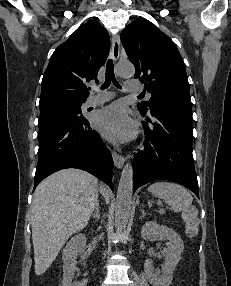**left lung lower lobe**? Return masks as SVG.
Wrapping results in <instances>:
<instances>
[{"label": "left lung lower lobe", "mask_w": 231, "mask_h": 286, "mask_svg": "<svg viewBox=\"0 0 231 286\" xmlns=\"http://www.w3.org/2000/svg\"><path fill=\"white\" fill-rule=\"evenodd\" d=\"M191 113L192 107L165 102L154 103L149 114L142 113L147 122L143 123L146 140L133 161V190L165 179L187 187L199 197Z\"/></svg>", "instance_id": "1"}]
</instances>
